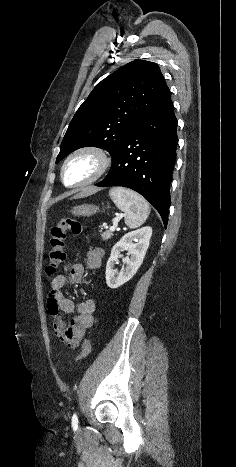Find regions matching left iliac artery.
I'll list each match as a JSON object with an SVG mask.
<instances>
[{"label":"left iliac artery","instance_id":"1","mask_svg":"<svg viewBox=\"0 0 236 467\" xmlns=\"http://www.w3.org/2000/svg\"><path fill=\"white\" fill-rule=\"evenodd\" d=\"M72 426L74 428H77L78 427V417L77 415L74 413L73 416H72Z\"/></svg>","mask_w":236,"mask_h":467}]
</instances>
